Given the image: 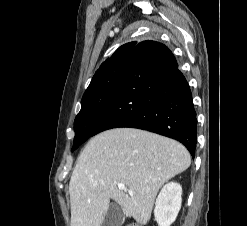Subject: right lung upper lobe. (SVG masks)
I'll return each mask as SVG.
<instances>
[{"instance_id":"obj_1","label":"right lung upper lobe","mask_w":247,"mask_h":226,"mask_svg":"<svg viewBox=\"0 0 247 226\" xmlns=\"http://www.w3.org/2000/svg\"><path fill=\"white\" fill-rule=\"evenodd\" d=\"M136 45H137V42H130V43L124 44L121 47H119L110 58H108L105 62L101 64L100 68L96 71L95 75L93 76L90 85L101 75V73L106 69V67L112 61L124 55H128L130 57L131 52Z\"/></svg>"}]
</instances>
